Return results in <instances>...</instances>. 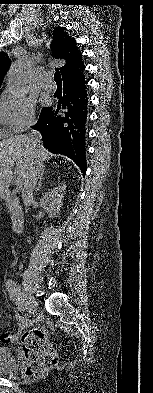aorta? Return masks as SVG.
Wrapping results in <instances>:
<instances>
[{"mask_svg": "<svg viewBox=\"0 0 153 393\" xmlns=\"http://www.w3.org/2000/svg\"><path fill=\"white\" fill-rule=\"evenodd\" d=\"M28 64L18 62L12 66L9 77V90L13 94L22 95L27 92Z\"/></svg>", "mask_w": 153, "mask_h": 393, "instance_id": "aorta-1", "label": "aorta"}]
</instances>
